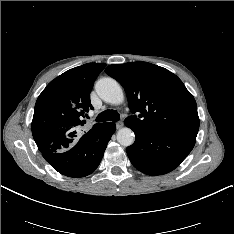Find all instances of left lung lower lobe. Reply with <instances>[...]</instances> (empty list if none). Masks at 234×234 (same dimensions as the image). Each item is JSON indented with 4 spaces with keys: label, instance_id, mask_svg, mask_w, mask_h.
Segmentation results:
<instances>
[{
    "label": "left lung lower lobe",
    "instance_id": "1",
    "mask_svg": "<svg viewBox=\"0 0 234 234\" xmlns=\"http://www.w3.org/2000/svg\"><path fill=\"white\" fill-rule=\"evenodd\" d=\"M125 125L135 133V142L126 152L132 165L147 175L174 170L191 152L197 132L189 130L149 129L133 122Z\"/></svg>",
    "mask_w": 234,
    "mask_h": 234
}]
</instances>
